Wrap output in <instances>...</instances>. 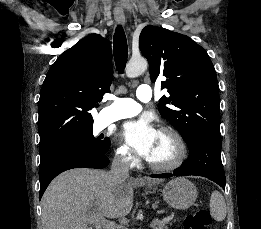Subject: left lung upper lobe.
Returning <instances> with one entry per match:
<instances>
[{
  "label": "left lung upper lobe",
  "mask_w": 261,
  "mask_h": 229,
  "mask_svg": "<svg viewBox=\"0 0 261 229\" xmlns=\"http://www.w3.org/2000/svg\"><path fill=\"white\" fill-rule=\"evenodd\" d=\"M139 47L149 62L151 81L167 78L161 89L167 88L169 96L161 97L158 108L188 147L200 137L220 139L219 87L205 49L186 35L152 25L142 30Z\"/></svg>",
  "instance_id": "5c2ea615"
}]
</instances>
